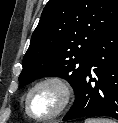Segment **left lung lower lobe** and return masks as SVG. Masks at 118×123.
I'll use <instances>...</instances> for the list:
<instances>
[{
    "mask_svg": "<svg viewBox=\"0 0 118 123\" xmlns=\"http://www.w3.org/2000/svg\"><path fill=\"white\" fill-rule=\"evenodd\" d=\"M75 95L63 121L86 116L118 119V19L94 45Z\"/></svg>",
    "mask_w": 118,
    "mask_h": 123,
    "instance_id": "left-lung-lower-lobe-1",
    "label": "left lung lower lobe"
}]
</instances>
